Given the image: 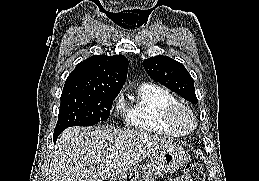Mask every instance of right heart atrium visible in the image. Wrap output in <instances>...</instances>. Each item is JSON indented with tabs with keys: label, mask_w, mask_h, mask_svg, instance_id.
Returning <instances> with one entry per match:
<instances>
[{
	"label": "right heart atrium",
	"mask_w": 259,
	"mask_h": 181,
	"mask_svg": "<svg viewBox=\"0 0 259 181\" xmlns=\"http://www.w3.org/2000/svg\"><path fill=\"white\" fill-rule=\"evenodd\" d=\"M123 107V99L122 97H118L115 102V111L119 112Z\"/></svg>",
	"instance_id": "1"
}]
</instances>
